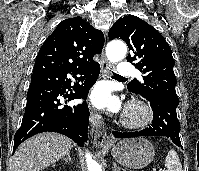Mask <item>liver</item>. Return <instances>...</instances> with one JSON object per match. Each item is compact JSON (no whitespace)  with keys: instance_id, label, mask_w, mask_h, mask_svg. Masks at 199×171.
Instances as JSON below:
<instances>
[{"instance_id":"liver-1","label":"liver","mask_w":199,"mask_h":171,"mask_svg":"<svg viewBox=\"0 0 199 171\" xmlns=\"http://www.w3.org/2000/svg\"><path fill=\"white\" fill-rule=\"evenodd\" d=\"M73 146V141L62 134H37L17 148L12 158V171H42L63 158Z\"/></svg>"}]
</instances>
